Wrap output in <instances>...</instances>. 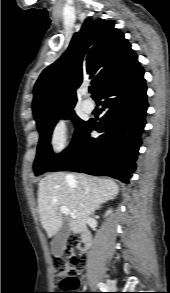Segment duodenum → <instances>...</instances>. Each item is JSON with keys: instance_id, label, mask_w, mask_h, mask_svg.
I'll return each mask as SVG.
<instances>
[{"instance_id": "obj_1", "label": "duodenum", "mask_w": 170, "mask_h": 293, "mask_svg": "<svg viewBox=\"0 0 170 293\" xmlns=\"http://www.w3.org/2000/svg\"><path fill=\"white\" fill-rule=\"evenodd\" d=\"M81 239H82V242L84 244V248H85V253L88 252V249L92 243V235L89 231H82L81 233Z\"/></svg>"}]
</instances>
